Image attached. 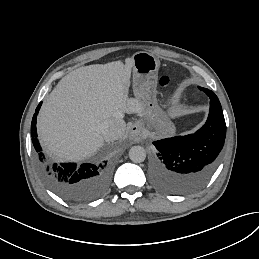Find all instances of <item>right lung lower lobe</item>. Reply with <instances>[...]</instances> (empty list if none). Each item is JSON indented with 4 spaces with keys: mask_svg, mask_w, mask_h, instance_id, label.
Returning <instances> with one entry per match:
<instances>
[{
    "mask_svg": "<svg viewBox=\"0 0 259 259\" xmlns=\"http://www.w3.org/2000/svg\"><path fill=\"white\" fill-rule=\"evenodd\" d=\"M42 102L36 108L31 122V137L37 152L39 172L47 184L64 199L84 202L101 196L108 188L110 168L107 161L99 164L49 163L37 139L36 117Z\"/></svg>",
    "mask_w": 259,
    "mask_h": 259,
    "instance_id": "obj_1",
    "label": "right lung lower lobe"
}]
</instances>
